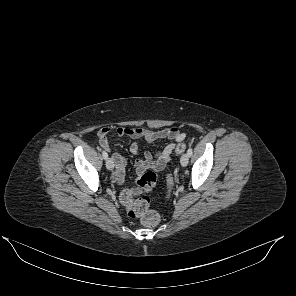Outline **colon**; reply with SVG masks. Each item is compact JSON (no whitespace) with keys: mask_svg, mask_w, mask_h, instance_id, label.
I'll list each match as a JSON object with an SVG mask.
<instances>
[{"mask_svg":"<svg viewBox=\"0 0 296 296\" xmlns=\"http://www.w3.org/2000/svg\"><path fill=\"white\" fill-rule=\"evenodd\" d=\"M187 148V144L179 143L175 148V153L180 155ZM171 183V178H169ZM139 189L151 192L156 185V174L152 170L143 172L136 181ZM121 202L127 208L129 216L139 218L141 223L146 227H154L159 224L160 216L156 211L150 209V200L147 197L134 200L129 190L122 192L120 196Z\"/></svg>","mask_w":296,"mask_h":296,"instance_id":"colon-1","label":"colon"}]
</instances>
